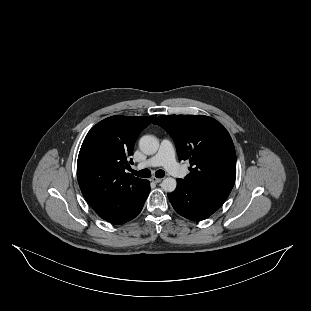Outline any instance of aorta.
Returning a JSON list of instances; mask_svg holds the SVG:
<instances>
[{"instance_id":"aorta-1","label":"aorta","mask_w":311,"mask_h":311,"mask_svg":"<svg viewBox=\"0 0 311 311\" xmlns=\"http://www.w3.org/2000/svg\"><path fill=\"white\" fill-rule=\"evenodd\" d=\"M139 148L146 155H153L158 151L159 141L153 135H144L139 140ZM176 180L171 177L165 178L161 187L166 192H173L176 188Z\"/></svg>"}]
</instances>
